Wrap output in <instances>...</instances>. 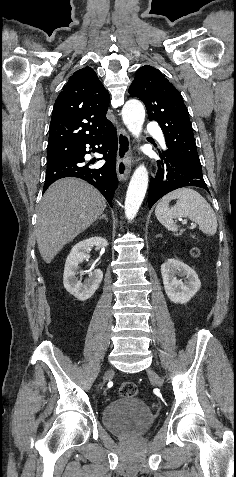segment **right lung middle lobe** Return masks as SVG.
<instances>
[{
  "label": "right lung middle lobe",
  "mask_w": 236,
  "mask_h": 477,
  "mask_svg": "<svg viewBox=\"0 0 236 477\" xmlns=\"http://www.w3.org/2000/svg\"><path fill=\"white\" fill-rule=\"evenodd\" d=\"M48 161H52V162H58V161H60V162H61V158H59V157H53V158L48 159ZM62 161H63V160H62Z\"/></svg>",
  "instance_id": "dd1d6c3e"
}]
</instances>
